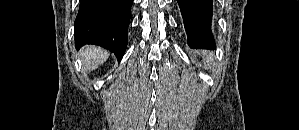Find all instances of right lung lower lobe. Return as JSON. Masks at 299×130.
<instances>
[{"mask_svg": "<svg viewBox=\"0 0 299 130\" xmlns=\"http://www.w3.org/2000/svg\"><path fill=\"white\" fill-rule=\"evenodd\" d=\"M133 0H81L75 20V46L94 44L121 60L126 47Z\"/></svg>", "mask_w": 299, "mask_h": 130, "instance_id": "right-lung-lower-lobe-1", "label": "right lung lower lobe"}]
</instances>
